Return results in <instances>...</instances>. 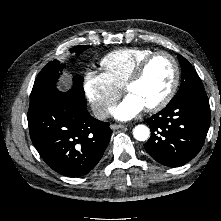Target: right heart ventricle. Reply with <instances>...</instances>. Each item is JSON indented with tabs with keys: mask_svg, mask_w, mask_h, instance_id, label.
I'll use <instances>...</instances> for the list:
<instances>
[{
	"mask_svg": "<svg viewBox=\"0 0 221 221\" xmlns=\"http://www.w3.org/2000/svg\"><path fill=\"white\" fill-rule=\"evenodd\" d=\"M153 51L149 48L129 47L116 49L101 60V66L111 80L122 87L133 73L137 64Z\"/></svg>",
	"mask_w": 221,
	"mask_h": 221,
	"instance_id": "e07e8e85",
	"label": "right heart ventricle"
}]
</instances>
